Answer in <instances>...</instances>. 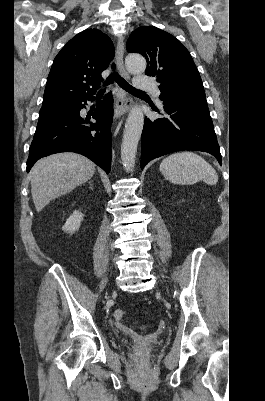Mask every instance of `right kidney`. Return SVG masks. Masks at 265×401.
<instances>
[{
	"mask_svg": "<svg viewBox=\"0 0 265 401\" xmlns=\"http://www.w3.org/2000/svg\"><path fill=\"white\" fill-rule=\"evenodd\" d=\"M83 217L84 215L81 213V211H74L71 217L67 219L63 227V231H69V233H75V231H79Z\"/></svg>",
	"mask_w": 265,
	"mask_h": 401,
	"instance_id": "right-kidney-1",
	"label": "right kidney"
}]
</instances>
